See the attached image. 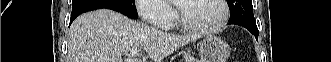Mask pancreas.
<instances>
[{"instance_id": "1", "label": "pancreas", "mask_w": 331, "mask_h": 62, "mask_svg": "<svg viewBox=\"0 0 331 62\" xmlns=\"http://www.w3.org/2000/svg\"><path fill=\"white\" fill-rule=\"evenodd\" d=\"M184 59H185V62H199V60H197L190 54H184Z\"/></svg>"}]
</instances>
